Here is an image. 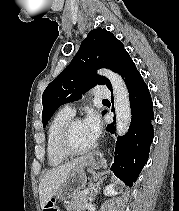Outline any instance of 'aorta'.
Returning <instances> with one entry per match:
<instances>
[{
    "instance_id": "aorta-1",
    "label": "aorta",
    "mask_w": 179,
    "mask_h": 211,
    "mask_svg": "<svg viewBox=\"0 0 179 211\" xmlns=\"http://www.w3.org/2000/svg\"><path fill=\"white\" fill-rule=\"evenodd\" d=\"M98 73L106 76L111 82L116 113V132L123 136L127 133L131 123V108L127 87L122 77L109 69H101Z\"/></svg>"
}]
</instances>
